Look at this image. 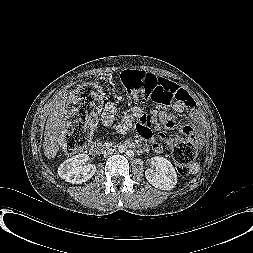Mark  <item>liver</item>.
I'll list each match as a JSON object with an SVG mask.
<instances>
[{
	"instance_id": "obj_1",
	"label": "liver",
	"mask_w": 253,
	"mask_h": 253,
	"mask_svg": "<svg viewBox=\"0 0 253 253\" xmlns=\"http://www.w3.org/2000/svg\"><path fill=\"white\" fill-rule=\"evenodd\" d=\"M67 92H59L50 105V113L44 132V154L48 159L54 158L60 148L65 130Z\"/></svg>"
}]
</instances>
